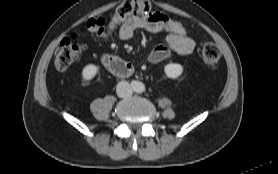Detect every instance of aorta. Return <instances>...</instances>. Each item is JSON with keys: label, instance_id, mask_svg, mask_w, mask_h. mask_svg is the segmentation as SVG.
Listing matches in <instances>:
<instances>
[{"label": "aorta", "instance_id": "obj_1", "mask_svg": "<svg viewBox=\"0 0 278 174\" xmlns=\"http://www.w3.org/2000/svg\"><path fill=\"white\" fill-rule=\"evenodd\" d=\"M133 89L137 93H142L145 90V85L142 82L136 81L133 85Z\"/></svg>", "mask_w": 278, "mask_h": 174}]
</instances>
